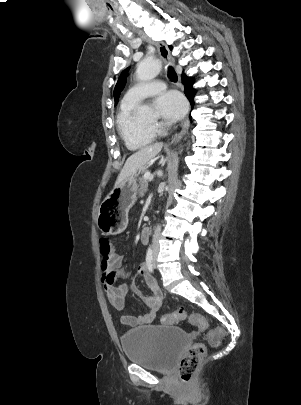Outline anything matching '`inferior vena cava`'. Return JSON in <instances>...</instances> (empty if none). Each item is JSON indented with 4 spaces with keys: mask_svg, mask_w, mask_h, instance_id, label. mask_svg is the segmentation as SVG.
<instances>
[{
    "mask_svg": "<svg viewBox=\"0 0 301 405\" xmlns=\"http://www.w3.org/2000/svg\"><path fill=\"white\" fill-rule=\"evenodd\" d=\"M160 231H161V227L158 225L156 227L155 234H154L153 241H152L153 253H157L159 251L158 237H159Z\"/></svg>",
    "mask_w": 301,
    "mask_h": 405,
    "instance_id": "inferior-vena-cava-1",
    "label": "inferior vena cava"
}]
</instances>
